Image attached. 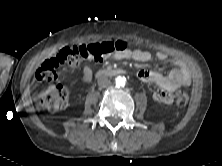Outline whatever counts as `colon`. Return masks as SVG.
Listing matches in <instances>:
<instances>
[{
  "mask_svg": "<svg viewBox=\"0 0 222 166\" xmlns=\"http://www.w3.org/2000/svg\"><path fill=\"white\" fill-rule=\"evenodd\" d=\"M126 48L127 45L121 41L98 42L62 48L57 55L44 60L35 73L37 80L51 82L47 89L39 93L37 97L39 105L50 112H57L66 106L69 97L67 88L61 84L53 83L58 77L60 67L64 65L74 66L86 60L103 61ZM188 99L189 96L185 91H178L175 96L177 107H184Z\"/></svg>",
  "mask_w": 222,
  "mask_h": 166,
  "instance_id": "5ec220e1",
  "label": "colon"
}]
</instances>
